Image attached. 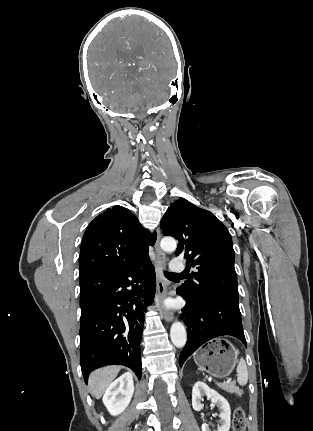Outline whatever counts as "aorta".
<instances>
[{"instance_id": "762f6f07", "label": "aorta", "mask_w": 313, "mask_h": 431, "mask_svg": "<svg viewBox=\"0 0 313 431\" xmlns=\"http://www.w3.org/2000/svg\"><path fill=\"white\" fill-rule=\"evenodd\" d=\"M161 248L166 252H172L177 248V242L174 238L165 237L160 242ZM171 341L177 348L185 346L187 334L184 325L181 322H174L170 329Z\"/></svg>"}]
</instances>
